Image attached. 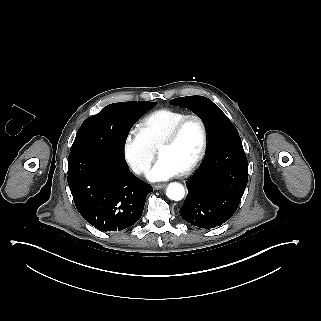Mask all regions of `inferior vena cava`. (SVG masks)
Returning <instances> with one entry per match:
<instances>
[{"instance_id": "obj_1", "label": "inferior vena cava", "mask_w": 321, "mask_h": 321, "mask_svg": "<svg viewBox=\"0 0 321 321\" xmlns=\"http://www.w3.org/2000/svg\"><path fill=\"white\" fill-rule=\"evenodd\" d=\"M136 169H134V172L135 173H137V174H139V173H141V172H149V170H150V168H147V167H145V168H143V167H140V166H136L135 167Z\"/></svg>"}]
</instances>
